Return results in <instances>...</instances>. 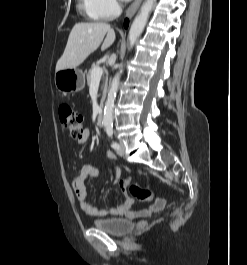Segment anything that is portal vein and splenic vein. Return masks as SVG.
I'll use <instances>...</instances> for the list:
<instances>
[{
	"label": "portal vein and splenic vein",
	"instance_id": "obj_1",
	"mask_svg": "<svg viewBox=\"0 0 247 265\" xmlns=\"http://www.w3.org/2000/svg\"><path fill=\"white\" fill-rule=\"evenodd\" d=\"M103 74V69L101 67H96L91 73L92 80H99Z\"/></svg>",
	"mask_w": 247,
	"mask_h": 265
}]
</instances>
